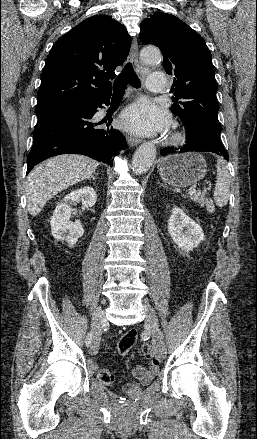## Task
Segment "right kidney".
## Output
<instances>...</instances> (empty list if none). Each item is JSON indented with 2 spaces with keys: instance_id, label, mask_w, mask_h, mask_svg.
I'll return each mask as SVG.
<instances>
[{
  "instance_id": "right-kidney-1",
  "label": "right kidney",
  "mask_w": 257,
  "mask_h": 439,
  "mask_svg": "<svg viewBox=\"0 0 257 439\" xmlns=\"http://www.w3.org/2000/svg\"><path fill=\"white\" fill-rule=\"evenodd\" d=\"M96 200V192L89 186L74 190L66 195L63 201L57 205L50 220L54 238L67 242L69 246L76 244L83 235L84 229L79 220L70 221L71 214L74 212L72 205L81 201L84 208H90L95 205Z\"/></svg>"
}]
</instances>
